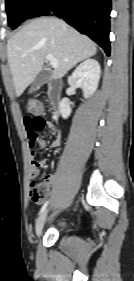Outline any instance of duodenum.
<instances>
[{
	"instance_id": "duodenum-1",
	"label": "duodenum",
	"mask_w": 134,
	"mask_h": 281,
	"mask_svg": "<svg viewBox=\"0 0 134 281\" xmlns=\"http://www.w3.org/2000/svg\"><path fill=\"white\" fill-rule=\"evenodd\" d=\"M62 92V84L59 81H53L48 86V99L52 107L56 110L59 106Z\"/></svg>"
}]
</instances>
